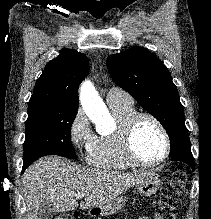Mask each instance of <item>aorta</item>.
I'll return each mask as SVG.
<instances>
[{"mask_svg":"<svg viewBox=\"0 0 211 219\" xmlns=\"http://www.w3.org/2000/svg\"><path fill=\"white\" fill-rule=\"evenodd\" d=\"M80 100L84 111L93 121L99 122L108 117V111L91 83L82 85Z\"/></svg>","mask_w":211,"mask_h":219,"instance_id":"1","label":"aorta"}]
</instances>
